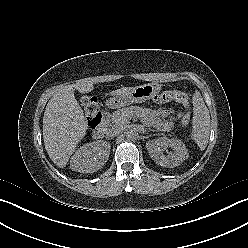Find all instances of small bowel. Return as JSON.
Masks as SVG:
<instances>
[{"instance_id":"small-bowel-1","label":"small bowel","mask_w":248,"mask_h":248,"mask_svg":"<svg viewBox=\"0 0 248 248\" xmlns=\"http://www.w3.org/2000/svg\"><path fill=\"white\" fill-rule=\"evenodd\" d=\"M162 115H163V116H167V115H168V112L163 111V112H162Z\"/></svg>"}]
</instances>
